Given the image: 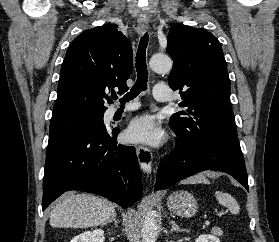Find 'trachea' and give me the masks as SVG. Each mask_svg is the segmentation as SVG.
I'll use <instances>...</instances> for the list:
<instances>
[{
	"instance_id": "3493384b",
	"label": "trachea",
	"mask_w": 279,
	"mask_h": 242,
	"mask_svg": "<svg viewBox=\"0 0 279 242\" xmlns=\"http://www.w3.org/2000/svg\"><path fill=\"white\" fill-rule=\"evenodd\" d=\"M148 45V34L146 33L140 40L137 54H136V71H137V81L133 85L130 92H128L122 99H120L121 104L132 100L140 92L147 89V79L148 70L146 65V48ZM112 99L116 100L117 95H112Z\"/></svg>"
}]
</instances>
